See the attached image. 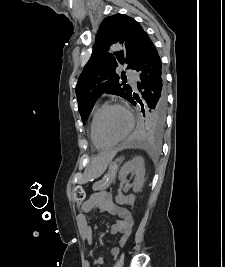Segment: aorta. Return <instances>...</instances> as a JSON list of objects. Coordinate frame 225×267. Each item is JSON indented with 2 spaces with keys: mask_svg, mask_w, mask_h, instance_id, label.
Here are the masks:
<instances>
[{
  "mask_svg": "<svg viewBox=\"0 0 225 267\" xmlns=\"http://www.w3.org/2000/svg\"><path fill=\"white\" fill-rule=\"evenodd\" d=\"M113 50H121L122 47L119 44H116L112 47Z\"/></svg>",
  "mask_w": 225,
  "mask_h": 267,
  "instance_id": "aorta-1",
  "label": "aorta"
}]
</instances>
